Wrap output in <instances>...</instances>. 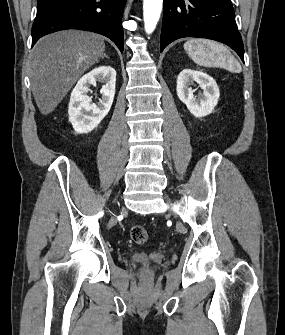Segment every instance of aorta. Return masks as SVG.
I'll return each mask as SVG.
<instances>
[{
    "label": "aorta",
    "mask_w": 285,
    "mask_h": 335,
    "mask_svg": "<svg viewBox=\"0 0 285 335\" xmlns=\"http://www.w3.org/2000/svg\"><path fill=\"white\" fill-rule=\"evenodd\" d=\"M163 0H143V18L147 34L154 32L162 12Z\"/></svg>",
    "instance_id": "1"
}]
</instances>
